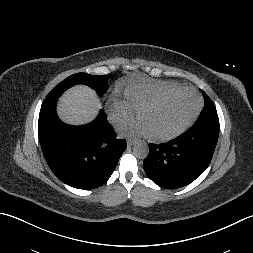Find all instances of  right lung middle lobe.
<instances>
[{
  "mask_svg": "<svg viewBox=\"0 0 253 253\" xmlns=\"http://www.w3.org/2000/svg\"><path fill=\"white\" fill-rule=\"evenodd\" d=\"M108 75H89L86 73H76L64 81L60 82L47 97H52L62 94L67 88L75 84H84L92 87L98 92H104L107 89Z\"/></svg>",
  "mask_w": 253,
  "mask_h": 253,
  "instance_id": "1",
  "label": "right lung middle lobe"
}]
</instances>
